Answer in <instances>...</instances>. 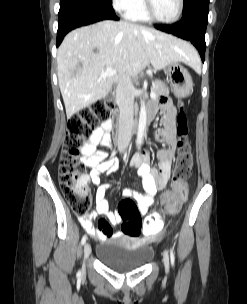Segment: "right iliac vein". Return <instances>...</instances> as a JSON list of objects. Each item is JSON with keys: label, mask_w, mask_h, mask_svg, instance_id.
Segmentation results:
<instances>
[{"label": "right iliac vein", "mask_w": 247, "mask_h": 304, "mask_svg": "<svg viewBox=\"0 0 247 304\" xmlns=\"http://www.w3.org/2000/svg\"><path fill=\"white\" fill-rule=\"evenodd\" d=\"M91 254V246L88 242L84 245V258L87 260Z\"/></svg>", "instance_id": "obj_1"}]
</instances>
